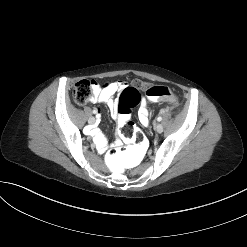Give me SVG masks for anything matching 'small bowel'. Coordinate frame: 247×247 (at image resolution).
I'll use <instances>...</instances> for the list:
<instances>
[{"label":"small bowel","mask_w":247,"mask_h":247,"mask_svg":"<svg viewBox=\"0 0 247 247\" xmlns=\"http://www.w3.org/2000/svg\"><path fill=\"white\" fill-rule=\"evenodd\" d=\"M127 87V83L124 81H114L107 83L103 86L96 82H93L92 96L90 98L91 102H99L107 105L114 118L118 117L117 104L118 101L114 99V96L123 91ZM149 113L147 109V102L144 98L141 99V105L138 110V120L143 126H147L149 123ZM90 134L94 137L97 144L98 150L104 152L107 148V141L104 136L95 129L90 131ZM116 145H120L117 141Z\"/></svg>","instance_id":"small-bowel-1"}]
</instances>
